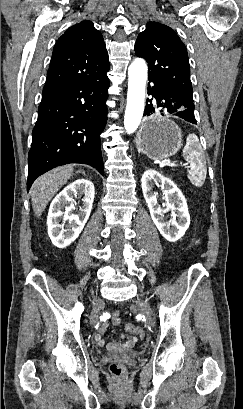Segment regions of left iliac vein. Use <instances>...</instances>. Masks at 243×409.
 <instances>
[{"instance_id": "obj_1", "label": "left iliac vein", "mask_w": 243, "mask_h": 409, "mask_svg": "<svg viewBox=\"0 0 243 409\" xmlns=\"http://www.w3.org/2000/svg\"><path fill=\"white\" fill-rule=\"evenodd\" d=\"M140 310L142 311L143 314H145V316L147 318V321H148V324L150 326H154V324H155L154 313H153L152 309L150 308V306L147 305V304L144 305V306L140 305Z\"/></svg>"}]
</instances>
